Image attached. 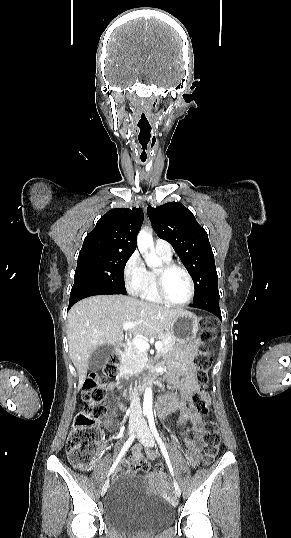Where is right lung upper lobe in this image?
I'll list each match as a JSON object with an SVG mask.
<instances>
[{
	"mask_svg": "<svg viewBox=\"0 0 291 538\" xmlns=\"http://www.w3.org/2000/svg\"><path fill=\"white\" fill-rule=\"evenodd\" d=\"M143 219L141 208L111 209L87 234L80 252L104 250L133 253Z\"/></svg>",
	"mask_w": 291,
	"mask_h": 538,
	"instance_id": "obj_1",
	"label": "right lung upper lobe"
}]
</instances>
